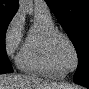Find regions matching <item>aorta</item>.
<instances>
[{
    "mask_svg": "<svg viewBox=\"0 0 89 89\" xmlns=\"http://www.w3.org/2000/svg\"><path fill=\"white\" fill-rule=\"evenodd\" d=\"M19 5L21 10L25 11L28 14H32L33 0H20Z\"/></svg>",
    "mask_w": 89,
    "mask_h": 89,
    "instance_id": "1",
    "label": "aorta"
}]
</instances>
